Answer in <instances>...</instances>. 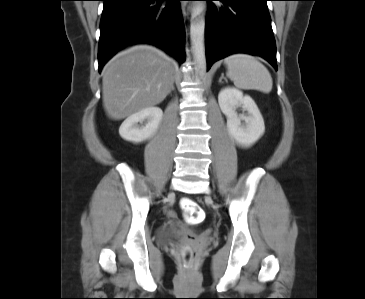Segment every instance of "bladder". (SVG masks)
Segmentation results:
<instances>
[{"mask_svg":"<svg viewBox=\"0 0 365 299\" xmlns=\"http://www.w3.org/2000/svg\"><path fill=\"white\" fill-rule=\"evenodd\" d=\"M186 233L187 230L182 225V223L175 221L161 226L158 229L157 238L160 244L169 245Z\"/></svg>","mask_w":365,"mask_h":299,"instance_id":"bladder-1","label":"bladder"}]
</instances>
